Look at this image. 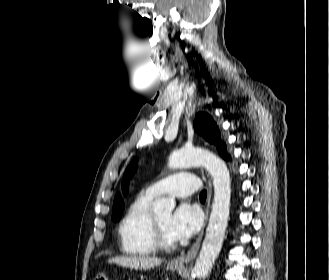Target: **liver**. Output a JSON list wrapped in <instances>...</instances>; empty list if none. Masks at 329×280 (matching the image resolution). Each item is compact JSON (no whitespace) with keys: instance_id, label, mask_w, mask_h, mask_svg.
Segmentation results:
<instances>
[{"instance_id":"1","label":"liver","mask_w":329,"mask_h":280,"mask_svg":"<svg viewBox=\"0 0 329 280\" xmlns=\"http://www.w3.org/2000/svg\"><path fill=\"white\" fill-rule=\"evenodd\" d=\"M108 263L136 270H146L160 265L162 260L147 256H116L110 258Z\"/></svg>"}]
</instances>
